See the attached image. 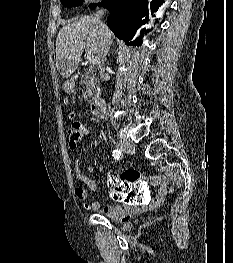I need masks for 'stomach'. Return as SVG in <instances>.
Listing matches in <instances>:
<instances>
[{"label":"stomach","instance_id":"1","mask_svg":"<svg viewBox=\"0 0 233 263\" xmlns=\"http://www.w3.org/2000/svg\"><path fill=\"white\" fill-rule=\"evenodd\" d=\"M75 84L72 80H68L64 84V89L67 93H72L74 91Z\"/></svg>","mask_w":233,"mask_h":263}]
</instances>
